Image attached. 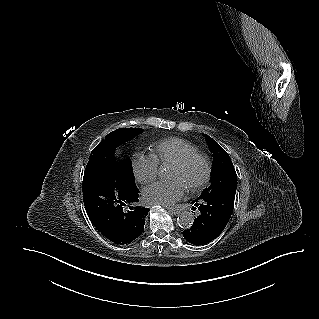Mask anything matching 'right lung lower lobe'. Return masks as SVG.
<instances>
[{
    "instance_id": "1",
    "label": "right lung lower lobe",
    "mask_w": 319,
    "mask_h": 319,
    "mask_svg": "<svg viewBox=\"0 0 319 319\" xmlns=\"http://www.w3.org/2000/svg\"><path fill=\"white\" fill-rule=\"evenodd\" d=\"M82 188L88 217L102 235L123 245L142 234L149 209L137 205L139 190L123 161H89Z\"/></svg>"
}]
</instances>
